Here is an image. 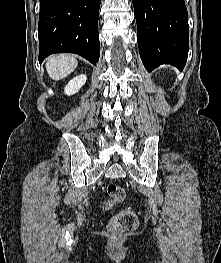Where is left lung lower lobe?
<instances>
[{
  "label": "left lung lower lobe",
  "mask_w": 221,
  "mask_h": 263,
  "mask_svg": "<svg viewBox=\"0 0 221 263\" xmlns=\"http://www.w3.org/2000/svg\"><path fill=\"white\" fill-rule=\"evenodd\" d=\"M140 57L151 71L161 64L183 69L188 56L184 0H133Z\"/></svg>",
  "instance_id": "0a47b994"
}]
</instances>
